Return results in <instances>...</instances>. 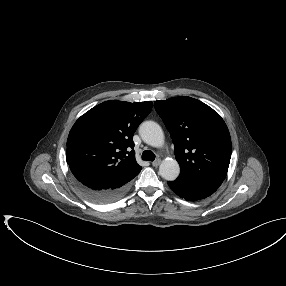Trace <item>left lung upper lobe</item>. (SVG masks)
Instances as JSON below:
<instances>
[{"mask_svg": "<svg viewBox=\"0 0 286 286\" xmlns=\"http://www.w3.org/2000/svg\"><path fill=\"white\" fill-rule=\"evenodd\" d=\"M154 104L173 140L180 176L219 187L228 171L232 147L221 116L187 96Z\"/></svg>", "mask_w": 286, "mask_h": 286, "instance_id": "1", "label": "left lung upper lobe"}]
</instances>
